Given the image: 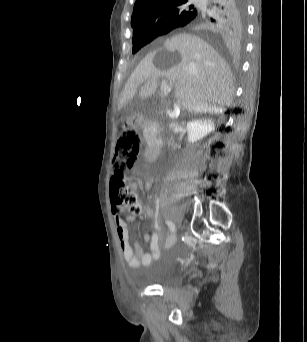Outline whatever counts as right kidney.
<instances>
[{
	"label": "right kidney",
	"mask_w": 307,
	"mask_h": 342,
	"mask_svg": "<svg viewBox=\"0 0 307 342\" xmlns=\"http://www.w3.org/2000/svg\"><path fill=\"white\" fill-rule=\"evenodd\" d=\"M186 128L188 130V142L193 144V142L208 136L215 126L212 120H192V122H188Z\"/></svg>",
	"instance_id": "right-kidney-1"
}]
</instances>
